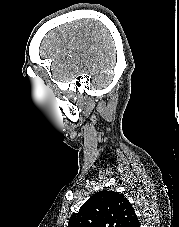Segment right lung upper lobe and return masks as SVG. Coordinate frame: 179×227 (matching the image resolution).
<instances>
[{
	"label": "right lung upper lobe",
	"mask_w": 179,
	"mask_h": 227,
	"mask_svg": "<svg viewBox=\"0 0 179 227\" xmlns=\"http://www.w3.org/2000/svg\"><path fill=\"white\" fill-rule=\"evenodd\" d=\"M68 227H139V221L122 194L103 190L93 194L71 216Z\"/></svg>",
	"instance_id": "1"
}]
</instances>
